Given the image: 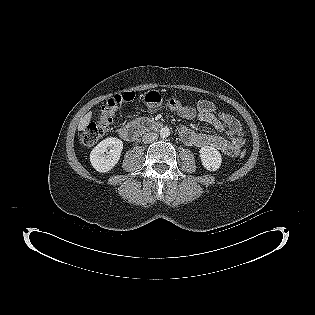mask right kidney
<instances>
[{"instance_id":"1","label":"right kidney","mask_w":315,"mask_h":315,"mask_svg":"<svg viewBox=\"0 0 315 315\" xmlns=\"http://www.w3.org/2000/svg\"><path fill=\"white\" fill-rule=\"evenodd\" d=\"M122 150L123 142L120 139L106 138L93 148L90 162L96 171L108 172L118 163Z\"/></svg>"}]
</instances>
